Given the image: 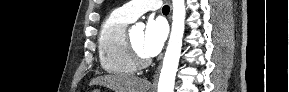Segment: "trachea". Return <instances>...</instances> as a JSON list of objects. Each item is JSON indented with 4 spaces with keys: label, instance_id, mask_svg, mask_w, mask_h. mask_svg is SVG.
<instances>
[{
    "label": "trachea",
    "instance_id": "obj_1",
    "mask_svg": "<svg viewBox=\"0 0 289 92\" xmlns=\"http://www.w3.org/2000/svg\"><path fill=\"white\" fill-rule=\"evenodd\" d=\"M162 11H163L164 13H168V12L170 11V7H169L168 5H165V6L163 7Z\"/></svg>",
    "mask_w": 289,
    "mask_h": 92
}]
</instances>
